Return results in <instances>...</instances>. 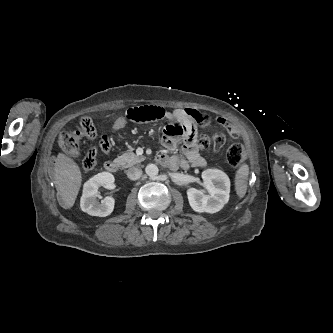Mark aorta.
<instances>
[{
  "label": "aorta",
  "mask_w": 333,
  "mask_h": 333,
  "mask_svg": "<svg viewBox=\"0 0 333 333\" xmlns=\"http://www.w3.org/2000/svg\"><path fill=\"white\" fill-rule=\"evenodd\" d=\"M145 172L149 177H156L159 173V169L155 164H148L145 168Z\"/></svg>",
  "instance_id": "762f6f07"
}]
</instances>
